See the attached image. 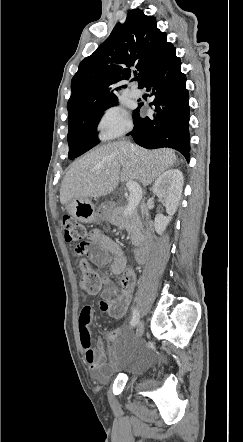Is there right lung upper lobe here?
Returning a JSON list of instances; mask_svg holds the SVG:
<instances>
[{
    "instance_id": "right-lung-upper-lobe-1",
    "label": "right lung upper lobe",
    "mask_w": 243,
    "mask_h": 442,
    "mask_svg": "<svg viewBox=\"0 0 243 442\" xmlns=\"http://www.w3.org/2000/svg\"><path fill=\"white\" fill-rule=\"evenodd\" d=\"M156 26L155 17L139 9L130 10L126 21L118 23L98 49L80 63L71 82L72 94L67 103L69 120L117 98L115 91L120 87L116 84L130 78L132 66L138 71L141 87L175 50L167 42V34Z\"/></svg>"
}]
</instances>
